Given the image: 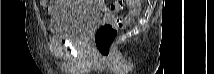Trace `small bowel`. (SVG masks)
Wrapping results in <instances>:
<instances>
[{
  "instance_id": "1",
  "label": "small bowel",
  "mask_w": 214,
  "mask_h": 74,
  "mask_svg": "<svg viewBox=\"0 0 214 74\" xmlns=\"http://www.w3.org/2000/svg\"><path fill=\"white\" fill-rule=\"evenodd\" d=\"M41 5L44 8L47 15L52 16L56 11L64 10L72 5L71 1H41Z\"/></svg>"
}]
</instances>
